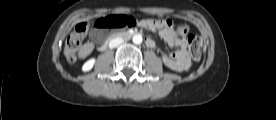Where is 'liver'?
Wrapping results in <instances>:
<instances>
[{"label":"liver","mask_w":276,"mask_h":120,"mask_svg":"<svg viewBox=\"0 0 276 120\" xmlns=\"http://www.w3.org/2000/svg\"><path fill=\"white\" fill-rule=\"evenodd\" d=\"M92 49H93L92 43H88V44L84 45L79 51V57L84 58L92 51Z\"/></svg>","instance_id":"obj_1"}]
</instances>
